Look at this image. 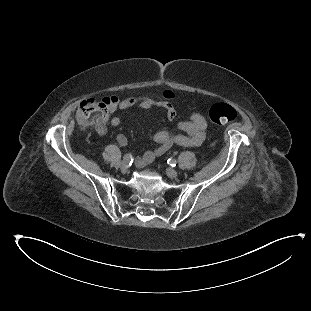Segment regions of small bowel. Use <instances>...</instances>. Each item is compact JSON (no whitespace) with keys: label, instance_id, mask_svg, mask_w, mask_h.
Segmentation results:
<instances>
[{"label":"small bowel","instance_id":"1","mask_svg":"<svg viewBox=\"0 0 311 311\" xmlns=\"http://www.w3.org/2000/svg\"><path fill=\"white\" fill-rule=\"evenodd\" d=\"M108 97L104 99L107 105ZM127 109L138 107L140 109L160 108L166 112L168 118L172 119L176 116V108L167 101H159L146 97H128ZM108 107V105H107ZM108 113L112 112L108 108ZM122 120L119 116H113L110 119V125L112 127H118ZM178 129L184 134H173L165 131H159L154 134L153 139L159 145L153 149L146 151L138 160L137 166L145 167L152 163L155 158L165 154L172 146H200L206 137L207 122L205 118L199 113H193L189 120L181 121L178 123ZM96 131L98 134L103 135L107 132V127L104 122H100L96 125ZM117 141L120 145L127 143L126 137L122 134L117 136Z\"/></svg>","mask_w":311,"mask_h":311}]
</instances>
